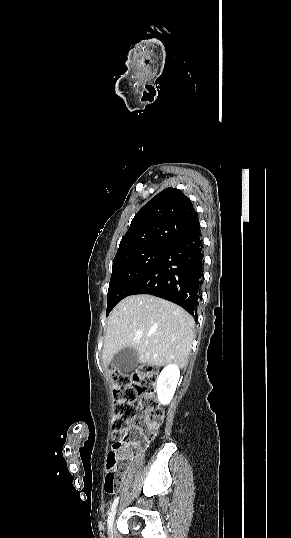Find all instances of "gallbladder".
Returning a JSON list of instances; mask_svg holds the SVG:
<instances>
[{"instance_id":"1","label":"gallbladder","mask_w":291,"mask_h":538,"mask_svg":"<svg viewBox=\"0 0 291 538\" xmlns=\"http://www.w3.org/2000/svg\"><path fill=\"white\" fill-rule=\"evenodd\" d=\"M138 365V353L134 348L127 347L116 353L112 366L119 372H130Z\"/></svg>"}]
</instances>
